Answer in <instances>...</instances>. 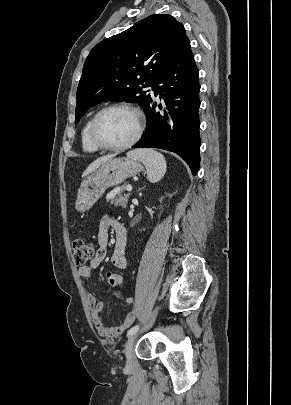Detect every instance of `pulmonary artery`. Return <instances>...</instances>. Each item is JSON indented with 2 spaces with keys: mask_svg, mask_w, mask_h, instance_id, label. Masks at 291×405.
Here are the masks:
<instances>
[{
  "mask_svg": "<svg viewBox=\"0 0 291 405\" xmlns=\"http://www.w3.org/2000/svg\"><path fill=\"white\" fill-rule=\"evenodd\" d=\"M150 91H151V93H153V87H150Z\"/></svg>",
  "mask_w": 291,
  "mask_h": 405,
  "instance_id": "1",
  "label": "pulmonary artery"
}]
</instances>
